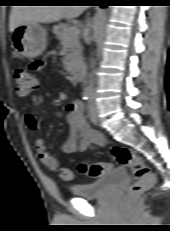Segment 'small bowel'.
<instances>
[{
    "mask_svg": "<svg viewBox=\"0 0 170 231\" xmlns=\"http://www.w3.org/2000/svg\"><path fill=\"white\" fill-rule=\"evenodd\" d=\"M29 70L33 75L42 74L45 71V63L41 60H35L29 65ZM43 101L44 100L40 95L33 98L34 105L37 108H41ZM65 111L70 131L68 139L63 146L64 153L70 154L84 152L91 144H104L105 140L103 136L88 126L83 115L84 105L80 100H73L66 104ZM25 123L28 128L32 130H36L39 127L36 117L31 113H27L25 115ZM35 149L39 160L45 166L51 170L57 168V160L50 152L47 151L45 140L43 138L40 137L36 139Z\"/></svg>",
    "mask_w": 170,
    "mask_h": 231,
    "instance_id": "c3829d8e",
    "label": "small bowel"
}]
</instances>
